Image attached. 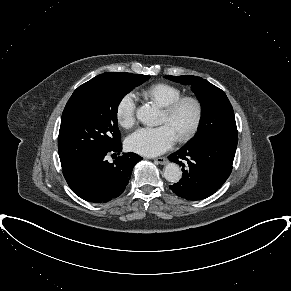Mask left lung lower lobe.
<instances>
[{
    "instance_id": "obj_1",
    "label": "left lung lower lobe",
    "mask_w": 291,
    "mask_h": 291,
    "mask_svg": "<svg viewBox=\"0 0 291 291\" xmlns=\"http://www.w3.org/2000/svg\"><path fill=\"white\" fill-rule=\"evenodd\" d=\"M237 143V135L219 134L197 144H186L171 154L169 160L182 165L183 174L170 189L187 200L214 194L232 171Z\"/></svg>"
}]
</instances>
